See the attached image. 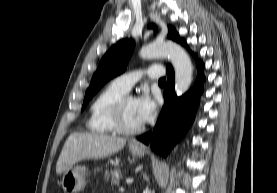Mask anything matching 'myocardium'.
<instances>
[{
    "instance_id": "obj_1",
    "label": "myocardium",
    "mask_w": 277,
    "mask_h": 193,
    "mask_svg": "<svg viewBox=\"0 0 277 193\" xmlns=\"http://www.w3.org/2000/svg\"><path fill=\"white\" fill-rule=\"evenodd\" d=\"M128 98L130 97L127 95H123L112 105L110 110V118L115 132L123 135L136 134L144 129L143 124L131 127L125 123L124 104Z\"/></svg>"
}]
</instances>
